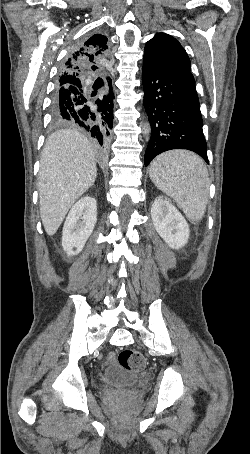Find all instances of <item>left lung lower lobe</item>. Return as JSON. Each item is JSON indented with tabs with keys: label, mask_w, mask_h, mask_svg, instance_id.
<instances>
[{
	"label": "left lung lower lobe",
	"mask_w": 250,
	"mask_h": 454,
	"mask_svg": "<svg viewBox=\"0 0 250 454\" xmlns=\"http://www.w3.org/2000/svg\"><path fill=\"white\" fill-rule=\"evenodd\" d=\"M142 83L144 107L152 128L145 166L158 154L172 149L191 150L209 164L191 72L168 69L143 58Z\"/></svg>",
	"instance_id": "obj_1"
}]
</instances>
